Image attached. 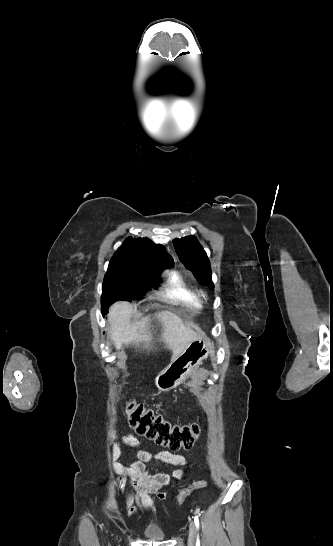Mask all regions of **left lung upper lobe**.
I'll use <instances>...</instances> for the list:
<instances>
[{
	"label": "left lung upper lobe",
	"instance_id": "left-lung-upper-lobe-1",
	"mask_svg": "<svg viewBox=\"0 0 333 546\" xmlns=\"http://www.w3.org/2000/svg\"><path fill=\"white\" fill-rule=\"evenodd\" d=\"M173 244L180 261L192 271L199 283L214 287L209 259L195 236L174 239Z\"/></svg>",
	"mask_w": 333,
	"mask_h": 546
}]
</instances>
